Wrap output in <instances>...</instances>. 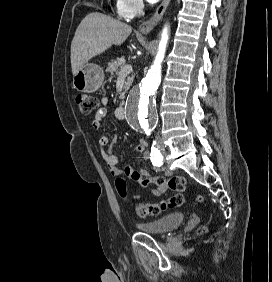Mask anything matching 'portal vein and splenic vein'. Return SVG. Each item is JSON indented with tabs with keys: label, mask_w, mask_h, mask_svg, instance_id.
Instances as JSON below:
<instances>
[{
	"label": "portal vein and splenic vein",
	"mask_w": 272,
	"mask_h": 282,
	"mask_svg": "<svg viewBox=\"0 0 272 282\" xmlns=\"http://www.w3.org/2000/svg\"><path fill=\"white\" fill-rule=\"evenodd\" d=\"M132 71V65H126L121 71H120V76L128 74Z\"/></svg>",
	"instance_id": "obj_1"
}]
</instances>
